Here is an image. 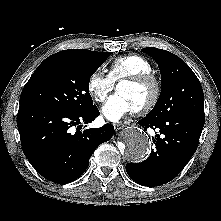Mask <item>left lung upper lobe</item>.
I'll return each instance as SVG.
<instances>
[{"label": "left lung upper lobe", "mask_w": 221, "mask_h": 221, "mask_svg": "<svg viewBox=\"0 0 221 221\" xmlns=\"http://www.w3.org/2000/svg\"><path fill=\"white\" fill-rule=\"evenodd\" d=\"M158 64L162 89L146 117L160 119L173 114H189L205 119L202 86L191 68L178 56L158 48H143Z\"/></svg>", "instance_id": "1"}]
</instances>
